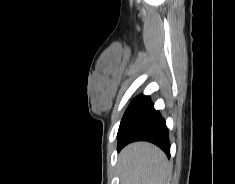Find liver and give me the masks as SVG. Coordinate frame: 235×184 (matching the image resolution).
<instances>
[{
    "label": "liver",
    "mask_w": 235,
    "mask_h": 184,
    "mask_svg": "<svg viewBox=\"0 0 235 184\" xmlns=\"http://www.w3.org/2000/svg\"><path fill=\"white\" fill-rule=\"evenodd\" d=\"M171 172L164 152L149 142H134L119 154L121 184H168Z\"/></svg>",
    "instance_id": "obj_1"
}]
</instances>
